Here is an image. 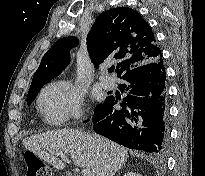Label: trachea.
I'll list each match as a JSON object with an SVG mask.
<instances>
[{
	"label": "trachea",
	"mask_w": 205,
	"mask_h": 176,
	"mask_svg": "<svg viewBox=\"0 0 205 176\" xmlns=\"http://www.w3.org/2000/svg\"><path fill=\"white\" fill-rule=\"evenodd\" d=\"M114 71V67L109 68V72L112 73Z\"/></svg>",
	"instance_id": "trachea-1"
}]
</instances>
